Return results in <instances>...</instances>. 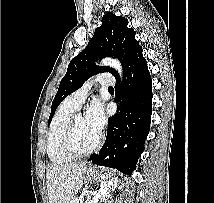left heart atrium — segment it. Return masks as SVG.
<instances>
[{
  "instance_id": "left-heart-atrium-1",
  "label": "left heart atrium",
  "mask_w": 214,
  "mask_h": 203,
  "mask_svg": "<svg viewBox=\"0 0 214 203\" xmlns=\"http://www.w3.org/2000/svg\"><path fill=\"white\" fill-rule=\"evenodd\" d=\"M86 122L95 131L100 132L105 124L103 107L98 100H94L89 106L86 114Z\"/></svg>"
}]
</instances>
